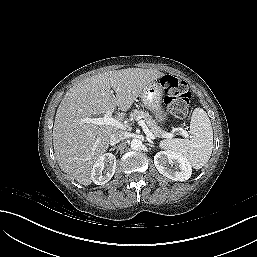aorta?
<instances>
[{
    "instance_id": "aorta-1",
    "label": "aorta",
    "mask_w": 257,
    "mask_h": 257,
    "mask_svg": "<svg viewBox=\"0 0 257 257\" xmlns=\"http://www.w3.org/2000/svg\"><path fill=\"white\" fill-rule=\"evenodd\" d=\"M143 147V143L140 139H133L130 142V148L132 150L138 151Z\"/></svg>"
}]
</instances>
